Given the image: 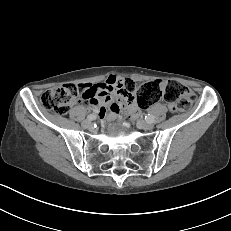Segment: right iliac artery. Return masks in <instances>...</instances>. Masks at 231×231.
<instances>
[{
    "instance_id": "82829eb1",
    "label": "right iliac artery",
    "mask_w": 231,
    "mask_h": 231,
    "mask_svg": "<svg viewBox=\"0 0 231 231\" xmlns=\"http://www.w3.org/2000/svg\"><path fill=\"white\" fill-rule=\"evenodd\" d=\"M87 119L88 120H95L96 119V115L90 114V115L87 116Z\"/></svg>"
}]
</instances>
